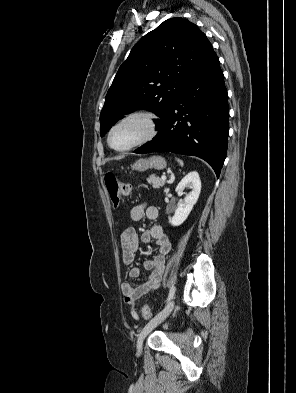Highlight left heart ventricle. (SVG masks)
I'll use <instances>...</instances> for the list:
<instances>
[{
  "label": "left heart ventricle",
  "instance_id": "left-heart-ventricle-1",
  "mask_svg": "<svg viewBox=\"0 0 296 393\" xmlns=\"http://www.w3.org/2000/svg\"><path fill=\"white\" fill-rule=\"evenodd\" d=\"M147 125L141 119H130L117 126L111 135L114 148H125L141 139L147 133Z\"/></svg>",
  "mask_w": 296,
  "mask_h": 393
}]
</instances>
